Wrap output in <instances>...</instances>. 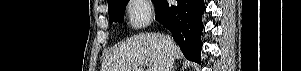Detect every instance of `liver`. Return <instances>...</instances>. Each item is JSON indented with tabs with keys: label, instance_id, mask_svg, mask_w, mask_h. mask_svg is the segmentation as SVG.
Returning <instances> with one entry per match:
<instances>
[{
	"label": "liver",
	"instance_id": "1",
	"mask_svg": "<svg viewBox=\"0 0 301 71\" xmlns=\"http://www.w3.org/2000/svg\"><path fill=\"white\" fill-rule=\"evenodd\" d=\"M174 59L182 58L180 48L173 42L169 47L166 37L159 33L139 34L122 42L105 55L101 71H161L166 52Z\"/></svg>",
	"mask_w": 301,
	"mask_h": 71
}]
</instances>
